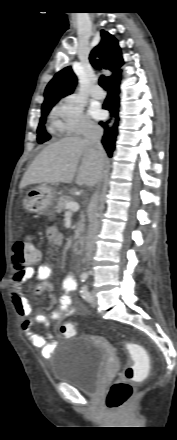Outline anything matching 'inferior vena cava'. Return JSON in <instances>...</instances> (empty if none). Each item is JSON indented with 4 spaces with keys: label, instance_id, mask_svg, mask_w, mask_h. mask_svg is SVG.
<instances>
[{
    "label": "inferior vena cava",
    "instance_id": "inferior-vena-cava-1",
    "mask_svg": "<svg viewBox=\"0 0 177 440\" xmlns=\"http://www.w3.org/2000/svg\"><path fill=\"white\" fill-rule=\"evenodd\" d=\"M102 134H103V129L100 126L90 123L86 126L84 131L85 140L90 142L91 145L99 153L104 152L101 144ZM98 210H99V190L96 191L92 197L91 209L89 211V226H88V234L86 238V247H85V251H86L85 255L87 261L91 259L95 247V238L99 227Z\"/></svg>",
    "mask_w": 177,
    "mask_h": 440
}]
</instances>
